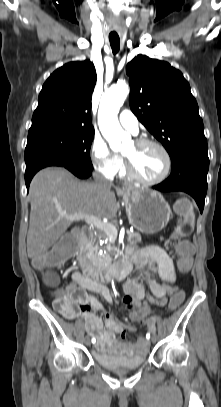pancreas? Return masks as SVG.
Instances as JSON below:
<instances>
[{
	"label": "pancreas",
	"mask_w": 221,
	"mask_h": 407,
	"mask_svg": "<svg viewBox=\"0 0 221 407\" xmlns=\"http://www.w3.org/2000/svg\"><path fill=\"white\" fill-rule=\"evenodd\" d=\"M106 236H107L106 233L102 230L97 231L90 230L89 237L85 243V250L90 256L92 264L98 268L104 266L105 262L107 261V258L105 254L103 255L99 254V247L95 245V242L98 238H103ZM127 240L131 246H136L138 243L141 242V235L138 232H128Z\"/></svg>",
	"instance_id": "pancreas-1"
}]
</instances>
